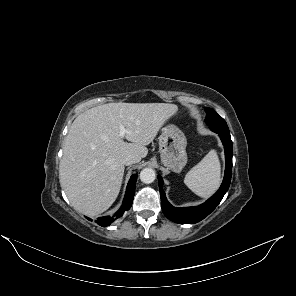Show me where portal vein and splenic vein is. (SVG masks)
I'll return each instance as SVG.
<instances>
[{
    "mask_svg": "<svg viewBox=\"0 0 296 296\" xmlns=\"http://www.w3.org/2000/svg\"><path fill=\"white\" fill-rule=\"evenodd\" d=\"M126 133H128V132H127V130L125 129V127H124L123 125H120V127H119V136H120L121 138H123V137L126 135Z\"/></svg>",
    "mask_w": 296,
    "mask_h": 296,
    "instance_id": "1",
    "label": "portal vein and splenic vein"
}]
</instances>
